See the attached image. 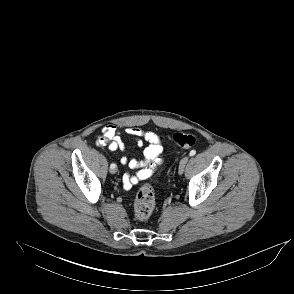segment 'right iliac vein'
I'll list each match as a JSON object with an SVG mask.
<instances>
[{"instance_id":"right-iliac-vein-1","label":"right iliac vein","mask_w":294,"mask_h":294,"mask_svg":"<svg viewBox=\"0 0 294 294\" xmlns=\"http://www.w3.org/2000/svg\"><path fill=\"white\" fill-rule=\"evenodd\" d=\"M109 171H110L111 174H115L117 172V167H114V168L110 167Z\"/></svg>"}]
</instances>
